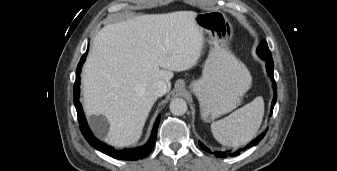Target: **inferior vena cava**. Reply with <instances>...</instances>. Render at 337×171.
Returning <instances> with one entry per match:
<instances>
[{
	"label": "inferior vena cava",
	"instance_id": "inferior-vena-cava-1",
	"mask_svg": "<svg viewBox=\"0 0 337 171\" xmlns=\"http://www.w3.org/2000/svg\"><path fill=\"white\" fill-rule=\"evenodd\" d=\"M151 91L156 97H161L168 91V86L165 82L160 80L152 85Z\"/></svg>",
	"mask_w": 337,
	"mask_h": 171
}]
</instances>
